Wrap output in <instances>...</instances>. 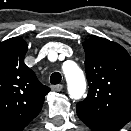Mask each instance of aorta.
Returning a JSON list of instances; mask_svg holds the SVG:
<instances>
[{
	"label": "aorta",
	"mask_w": 131,
	"mask_h": 131,
	"mask_svg": "<svg viewBox=\"0 0 131 131\" xmlns=\"http://www.w3.org/2000/svg\"><path fill=\"white\" fill-rule=\"evenodd\" d=\"M63 72L70 97L79 99L86 89V81L82 70L75 63L67 62L63 65Z\"/></svg>",
	"instance_id": "aorta-1"
}]
</instances>
